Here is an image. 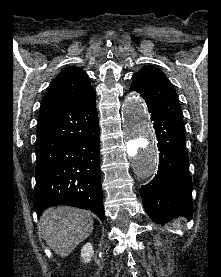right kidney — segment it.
<instances>
[{"label": "right kidney", "mask_w": 221, "mask_h": 277, "mask_svg": "<svg viewBox=\"0 0 221 277\" xmlns=\"http://www.w3.org/2000/svg\"><path fill=\"white\" fill-rule=\"evenodd\" d=\"M93 246L91 243H86L83 248L81 249V257L85 263L90 262L91 257L93 256Z\"/></svg>", "instance_id": "1"}]
</instances>
